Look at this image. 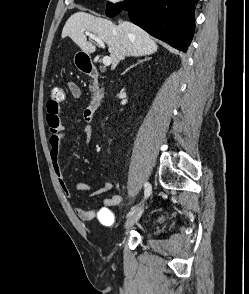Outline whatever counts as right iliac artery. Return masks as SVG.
I'll list each match as a JSON object with an SVG mask.
<instances>
[{
	"mask_svg": "<svg viewBox=\"0 0 249 294\" xmlns=\"http://www.w3.org/2000/svg\"><path fill=\"white\" fill-rule=\"evenodd\" d=\"M144 188H145V198H147L151 194V185L147 182L144 184ZM134 212H135V208L132 209V211H130L127 216L133 214Z\"/></svg>",
	"mask_w": 249,
	"mask_h": 294,
	"instance_id": "1",
	"label": "right iliac artery"
}]
</instances>
